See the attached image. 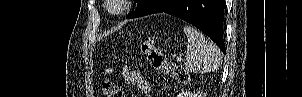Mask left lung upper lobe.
Here are the masks:
<instances>
[{
	"instance_id": "1",
	"label": "left lung upper lobe",
	"mask_w": 302,
	"mask_h": 97,
	"mask_svg": "<svg viewBox=\"0 0 302 97\" xmlns=\"http://www.w3.org/2000/svg\"><path fill=\"white\" fill-rule=\"evenodd\" d=\"M150 0H135V2H137L138 7L136 8V10H141L144 9L145 6L149 3Z\"/></svg>"
}]
</instances>
